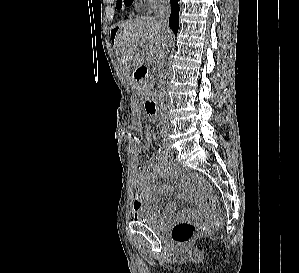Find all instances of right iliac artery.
Wrapping results in <instances>:
<instances>
[{"label": "right iliac artery", "instance_id": "obj_1", "mask_svg": "<svg viewBox=\"0 0 299 273\" xmlns=\"http://www.w3.org/2000/svg\"><path fill=\"white\" fill-rule=\"evenodd\" d=\"M159 153L165 158L168 157V151L164 147H159Z\"/></svg>", "mask_w": 299, "mask_h": 273}]
</instances>
